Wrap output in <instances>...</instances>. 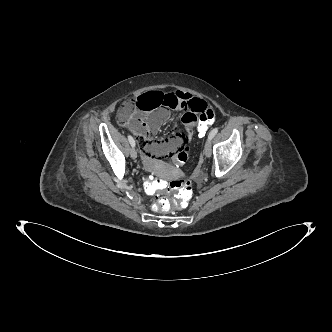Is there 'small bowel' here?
Wrapping results in <instances>:
<instances>
[{
  "instance_id": "obj_1",
  "label": "small bowel",
  "mask_w": 332,
  "mask_h": 332,
  "mask_svg": "<svg viewBox=\"0 0 332 332\" xmlns=\"http://www.w3.org/2000/svg\"><path fill=\"white\" fill-rule=\"evenodd\" d=\"M208 108V104L190 93L174 91L168 93L161 88L143 90L128 113L121 111V118L141 144L142 158L150 166L155 161L179 151L192 139V128L196 127L198 116ZM183 111L182 122L186 128L180 137L165 141H155L161 126L169 119L171 111Z\"/></svg>"
}]
</instances>
